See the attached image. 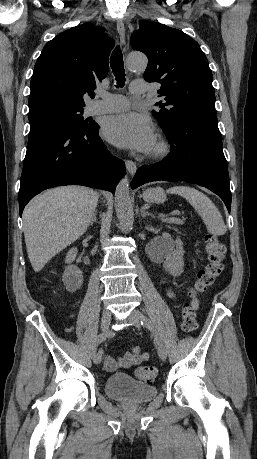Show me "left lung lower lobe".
<instances>
[{
    "mask_svg": "<svg viewBox=\"0 0 257 459\" xmlns=\"http://www.w3.org/2000/svg\"><path fill=\"white\" fill-rule=\"evenodd\" d=\"M163 131L171 146L169 156L157 164L140 167L131 188L157 180L196 183L216 193L230 211L227 161L216 115H187Z\"/></svg>",
    "mask_w": 257,
    "mask_h": 459,
    "instance_id": "0a47b994",
    "label": "left lung lower lobe"
}]
</instances>
